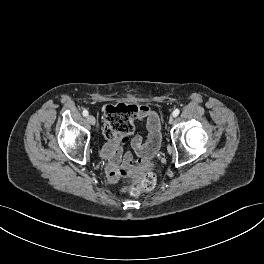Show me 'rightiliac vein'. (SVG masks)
I'll list each match as a JSON object with an SVG mask.
<instances>
[{
  "instance_id": "obj_1",
  "label": "right iliac vein",
  "mask_w": 264,
  "mask_h": 264,
  "mask_svg": "<svg viewBox=\"0 0 264 264\" xmlns=\"http://www.w3.org/2000/svg\"><path fill=\"white\" fill-rule=\"evenodd\" d=\"M87 121H88V123L91 124V125H95V123H96V119H95V117L92 116V115L87 116Z\"/></svg>"
}]
</instances>
